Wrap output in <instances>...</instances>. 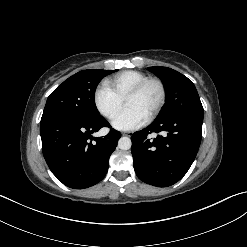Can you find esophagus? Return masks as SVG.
Masks as SVG:
<instances>
[{
    "label": "esophagus",
    "instance_id": "34e87169",
    "mask_svg": "<svg viewBox=\"0 0 247 247\" xmlns=\"http://www.w3.org/2000/svg\"><path fill=\"white\" fill-rule=\"evenodd\" d=\"M122 135L129 136L130 137L132 135V133L131 132H123Z\"/></svg>",
    "mask_w": 247,
    "mask_h": 247
}]
</instances>
